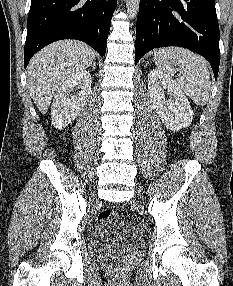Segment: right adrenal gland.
I'll return each instance as SVG.
<instances>
[{
  "instance_id": "2a0ac1e0",
  "label": "right adrenal gland",
  "mask_w": 233,
  "mask_h": 286,
  "mask_svg": "<svg viewBox=\"0 0 233 286\" xmlns=\"http://www.w3.org/2000/svg\"><path fill=\"white\" fill-rule=\"evenodd\" d=\"M91 67H92L93 71L96 69V62L95 61L91 64Z\"/></svg>"
}]
</instances>
